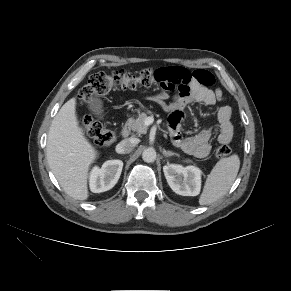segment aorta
Instances as JSON below:
<instances>
[{"instance_id":"aorta-1","label":"aorta","mask_w":291,"mask_h":291,"mask_svg":"<svg viewBox=\"0 0 291 291\" xmlns=\"http://www.w3.org/2000/svg\"><path fill=\"white\" fill-rule=\"evenodd\" d=\"M142 159L147 163H152L156 160V151L153 148H147L142 153Z\"/></svg>"}]
</instances>
